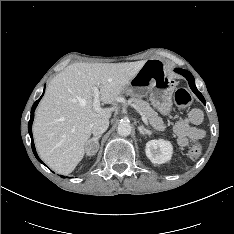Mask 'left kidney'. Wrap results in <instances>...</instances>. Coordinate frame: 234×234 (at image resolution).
<instances>
[{"label": "left kidney", "mask_w": 234, "mask_h": 234, "mask_svg": "<svg viewBox=\"0 0 234 234\" xmlns=\"http://www.w3.org/2000/svg\"><path fill=\"white\" fill-rule=\"evenodd\" d=\"M172 145L169 141L159 139L150 140L146 143V156L154 164H163L170 160L172 156Z\"/></svg>", "instance_id": "1"}]
</instances>
